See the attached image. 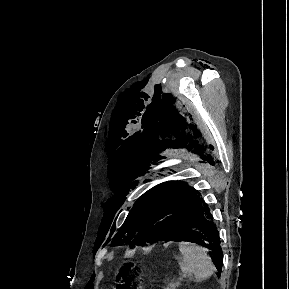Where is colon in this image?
<instances>
[{
    "instance_id": "colon-1",
    "label": "colon",
    "mask_w": 289,
    "mask_h": 289,
    "mask_svg": "<svg viewBox=\"0 0 289 289\" xmlns=\"http://www.w3.org/2000/svg\"><path fill=\"white\" fill-rule=\"evenodd\" d=\"M141 272L134 266L121 275L116 281V289H140Z\"/></svg>"
}]
</instances>
